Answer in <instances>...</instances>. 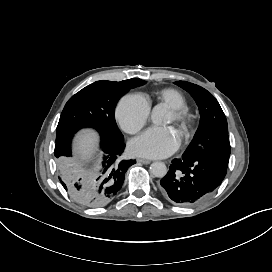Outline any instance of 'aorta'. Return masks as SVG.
Returning <instances> with one entry per match:
<instances>
[{
	"instance_id": "1",
	"label": "aorta",
	"mask_w": 272,
	"mask_h": 272,
	"mask_svg": "<svg viewBox=\"0 0 272 272\" xmlns=\"http://www.w3.org/2000/svg\"><path fill=\"white\" fill-rule=\"evenodd\" d=\"M168 113V107L165 104H157L151 112V120L154 124L164 122L165 116ZM150 172L153 176L163 178L167 174V167L163 162H154L150 166Z\"/></svg>"
}]
</instances>
